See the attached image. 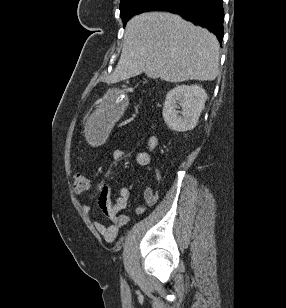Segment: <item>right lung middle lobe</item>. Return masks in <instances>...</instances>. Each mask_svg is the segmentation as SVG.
I'll use <instances>...</instances> for the list:
<instances>
[{
  "label": "right lung middle lobe",
  "mask_w": 286,
  "mask_h": 308,
  "mask_svg": "<svg viewBox=\"0 0 286 308\" xmlns=\"http://www.w3.org/2000/svg\"><path fill=\"white\" fill-rule=\"evenodd\" d=\"M168 0H122L120 2V17L124 26L134 15L153 11Z\"/></svg>",
  "instance_id": "1"
}]
</instances>
